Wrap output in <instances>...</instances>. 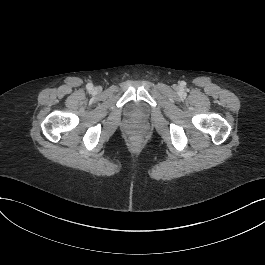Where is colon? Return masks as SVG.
Instances as JSON below:
<instances>
[{"mask_svg": "<svg viewBox=\"0 0 265 265\" xmlns=\"http://www.w3.org/2000/svg\"><path fill=\"white\" fill-rule=\"evenodd\" d=\"M138 137H139V134H138L137 132H134V133H133V138H134V139H137Z\"/></svg>", "mask_w": 265, "mask_h": 265, "instance_id": "obj_1", "label": "colon"}]
</instances>
